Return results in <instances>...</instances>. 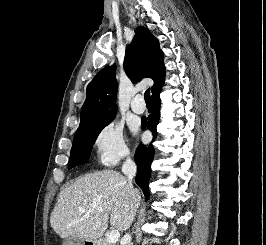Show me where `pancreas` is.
Masks as SVG:
<instances>
[{"mask_svg": "<svg viewBox=\"0 0 266 245\" xmlns=\"http://www.w3.org/2000/svg\"><path fill=\"white\" fill-rule=\"evenodd\" d=\"M99 245H111V243H107V241H100Z\"/></svg>", "mask_w": 266, "mask_h": 245, "instance_id": "obj_1", "label": "pancreas"}]
</instances>
